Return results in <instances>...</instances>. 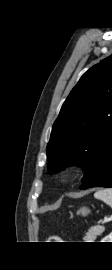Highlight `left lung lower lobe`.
<instances>
[{"label": "left lung lower lobe", "mask_w": 112, "mask_h": 270, "mask_svg": "<svg viewBox=\"0 0 112 270\" xmlns=\"http://www.w3.org/2000/svg\"><path fill=\"white\" fill-rule=\"evenodd\" d=\"M91 187H111L112 188V145L104 154L102 165L95 175L85 181L80 189Z\"/></svg>", "instance_id": "1"}]
</instances>
